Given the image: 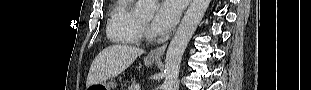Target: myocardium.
Here are the masks:
<instances>
[{"label":"myocardium","mask_w":311,"mask_h":90,"mask_svg":"<svg viewBox=\"0 0 311 90\" xmlns=\"http://www.w3.org/2000/svg\"><path fill=\"white\" fill-rule=\"evenodd\" d=\"M141 30L144 33V36L148 40H153L155 38V34L149 29L148 23L140 19Z\"/></svg>","instance_id":"1"}]
</instances>
